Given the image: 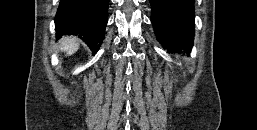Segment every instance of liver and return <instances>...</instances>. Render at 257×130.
<instances>
[{"instance_id":"liver-1","label":"liver","mask_w":257,"mask_h":130,"mask_svg":"<svg viewBox=\"0 0 257 130\" xmlns=\"http://www.w3.org/2000/svg\"><path fill=\"white\" fill-rule=\"evenodd\" d=\"M60 50L66 52L67 55L74 54L78 48L79 44L75 37H63L60 41Z\"/></svg>"}]
</instances>
